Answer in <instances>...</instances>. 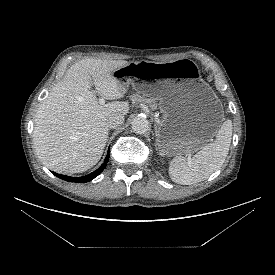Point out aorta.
Listing matches in <instances>:
<instances>
[{"mask_svg":"<svg viewBox=\"0 0 275 275\" xmlns=\"http://www.w3.org/2000/svg\"><path fill=\"white\" fill-rule=\"evenodd\" d=\"M131 124L133 131L137 134H144L149 130V121L144 116L134 117Z\"/></svg>","mask_w":275,"mask_h":275,"instance_id":"1","label":"aorta"}]
</instances>
